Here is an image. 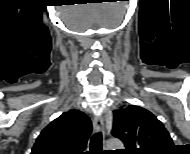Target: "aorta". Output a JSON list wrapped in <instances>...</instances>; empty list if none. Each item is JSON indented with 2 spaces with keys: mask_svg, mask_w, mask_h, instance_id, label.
<instances>
[{
  "mask_svg": "<svg viewBox=\"0 0 190 154\" xmlns=\"http://www.w3.org/2000/svg\"><path fill=\"white\" fill-rule=\"evenodd\" d=\"M107 150L123 149V143L119 139H110L106 142Z\"/></svg>",
  "mask_w": 190,
  "mask_h": 154,
  "instance_id": "1",
  "label": "aorta"
}]
</instances>
